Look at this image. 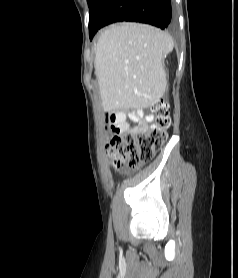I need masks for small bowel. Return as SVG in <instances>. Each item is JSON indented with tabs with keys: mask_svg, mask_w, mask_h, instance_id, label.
I'll use <instances>...</instances> for the list:
<instances>
[{
	"mask_svg": "<svg viewBox=\"0 0 238 278\" xmlns=\"http://www.w3.org/2000/svg\"><path fill=\"white\" fill-rule=\"evenodd\" d=\"M106 122L110 125L113 133L117 131H127V130H139L147 128L148 124L153 120L152 115L144 116L142 110L137 109L130 114H125L124 112H112L106 115ZM128 119L135 122L137 125L135 127H130L128 124Z\"/></svg>",
	"mask_w": 238,
	"mask_h": 278,
	"instance_id": "small-bowel-1",
	"label": "small bowel"
}]
</instances>
